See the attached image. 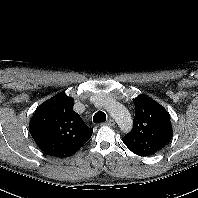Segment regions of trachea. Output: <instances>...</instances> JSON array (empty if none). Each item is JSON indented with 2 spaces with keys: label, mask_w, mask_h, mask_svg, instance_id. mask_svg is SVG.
Here are the masks:
<instances>
[{
  "label": "trachea",
  "mask_w": 198,
  "mask_h": 198,
  "mask_svg": "<svg viewBox=\"0 0 198 198\" xmlns=\"http://www.w3.org/2000/svg\"><path fill=\"white\" fill-rule=\"evenodd\" d=\"M105 121H106V114L102 111H98L93 116V122L94 123H101V122H105Z\"/></svg>",
  "instance_id": "3493384b"
}]
</instances>
